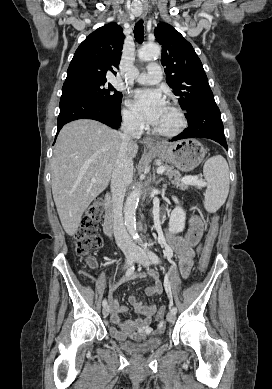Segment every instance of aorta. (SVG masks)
<instances>
[{
    "mask_svg": "<svg viewBox=\"0 0 272 389\" xmlns=\"http://www.w3.org/2000/svg\"><path fill=\"white\" fill-rule=\"evenodd\" d=\"M160 54L161 48L155 43L146 44L138 50V58L141 61H150L152 59H156L160 56ZM140 196L141 186H138L129 194L124 206L125 226L134 240L139 239L136 228V209Z\"/></svg>",
    "mask_w": 272,
    "mask_h": 389,
    "instance_id": "aorta-1",
    "label": "aorta"
}]
</instances>
